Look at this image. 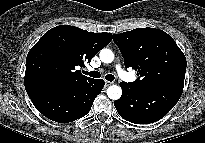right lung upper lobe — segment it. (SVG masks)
Listing matches in <instances>:
<instances>
[{"mask_svg":"<svg viewBox=\"0 0 205 143\" xmlns=\"http://www.w3.org/2000/svg\"><path fill=\"white\" fill-rule=\"evenodd\" d=\"M112 40L111 33H93L70 25L47 31L26 58L24 82L75 85L92 80L76 66H84Z\"/></svg>","mask_w":205,"mask_h":143,"instance_id":"right-lung-upper-lobe-1","label":"right lung upper lobe"}]
</instances>
